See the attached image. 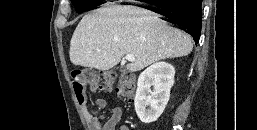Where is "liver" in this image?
Masks as SVG:
<instances>
[{
  "mask_svg": "<svg viewBox=\"0 0 257 130\" xmlns=\"http://www.w3.org/2000/svg\"><path fill=\"white\" fill-rule=\"evenodd\" d=\"M159 17L134 6L98 8L76 27L70 42V61L105 71L131 54L135 61L127 69L137 72L160 60L190 54L191 37Z\"/></svg>",
  "mask_w": 257,
  "mask_h": 130,
  "instance_id": "6515ba94",
  "label": "liver"
}]
</instances>
